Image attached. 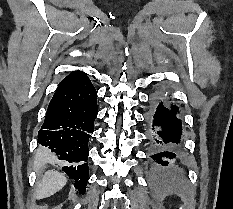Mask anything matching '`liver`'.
<instances>
[{"label":"liver","mask_w":233,"mask_h":209,"mask_svg":"<svg viewBox=\"0 0 233 209\" xmlns=\"http://www.w3.org/2000/svg\"><path fill=\"white\" fill-rule=\"evenodd\" d=\"M67 183V177L57 171L45 172L42 180L37 184L36 198L43 199L61 190Z\"/></svg>","instance_id":"liver-1"}]
</instances>
